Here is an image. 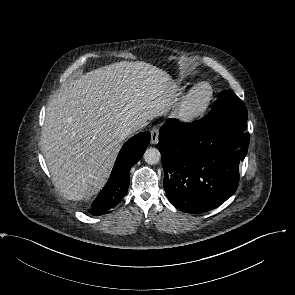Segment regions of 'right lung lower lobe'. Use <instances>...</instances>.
<instances>
[{
	"label": "right lung lower lobe",
	"mask_w": 295,
	"mask_h": 295,
	"mask_svg": "<svg viewBox=\"0 0 295 295\" xmlns=\"http://www.w3.org/2000/svg\"><path fill=\"white\" fill-rule=\"evenodd\" d=\"M150 138L149 132L139 133L123 145L109 180L88 210L91 215L108 214L121 202L129 187L130 169L143 156Z\"/></svg>",
	"instance_id": "98d812e1"
}]
</instances>
